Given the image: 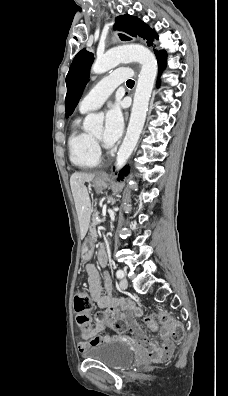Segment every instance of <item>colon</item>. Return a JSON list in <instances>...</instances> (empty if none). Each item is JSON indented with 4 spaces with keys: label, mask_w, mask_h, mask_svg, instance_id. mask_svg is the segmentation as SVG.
I'll return each instance as SVG.
<instances>
[{
    "label": "colon",
    "mask_w": 228,
    "mask_h": 396,
    "mask_svg": "<svg viewBox=\"0 0 228 396\" xmlns=\"http://www.w3.org/2000/svg\"><path fill=\"white\" fill-rule=\"evenodd\" d=\"M92 309L90 296L84 290L79 291L74 298V310L77 314V324L81 330H87L90 326V319L87 313ZM98 322L110 325L116 332L124 333L127 323L121 319H111L104 311L98 313ZM158 322L167 330L174 342H180L184 338L185 330L183 324L165 311L146 316L145 323L151 330L158 328Z\"/></svg>",
    "instance_id": "1"
}]
</instances>
